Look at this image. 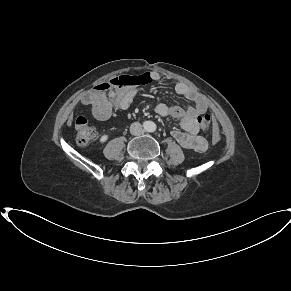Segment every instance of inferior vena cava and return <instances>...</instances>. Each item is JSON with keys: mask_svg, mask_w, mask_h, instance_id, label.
<instances>
[{"mask_svg": "<svg viewBox=\"0 0 291 291\" xmlns=\"http://www.w3.org/2000/svg\"><path fill=\"white\" fill-rule=\"evenodd\" d=\"M130 133L135 136H139L143 133V127L140 123L134 122L130 126Z\"/></svg>", "mask_w": 291, "mask_h": 291, "instance_id": "inferior-vena-cava-1", "label": "inferior vena cava"}]
</instances>
